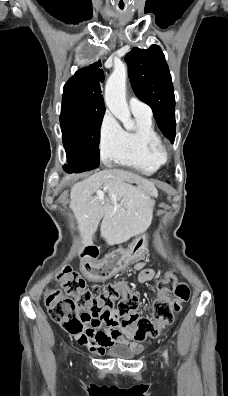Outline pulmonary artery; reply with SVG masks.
Masks as SVG:
<instances>
[{"mask_svg":"<svg viewBox=\"0 0 228 396\" xmlns=\"http://www.w3.org/2000/svg\"><path fill=\"white\" fill-rule=\"evenodd\" d=\"M129 107L133 114L152 115L151 108L137 97H131L129 99Z\"/></svg>","mask_w":228,"mask_h":396,"instance_id":"obj_1","label":"pulmonary artery"}]
</instances>
